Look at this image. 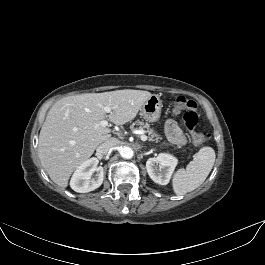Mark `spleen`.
I'll return each mask as SVG.
<instances>
[{"mask_svg":"<svg viewBox=\"0 0 265 265\" xmlns=\"http://www.w3.org/2000/svg\"><path fill=\"white\" fill-rule=\"evenodd\" d=\"M215 158V151L212 147L201 148L186 169H179L175 173L172 180L175 194L184 195L199 187L213 168Z\"/></svg>","mask_w":265,"mask_h":265,"instance_id":"3e777b00","label":"spleen"}]
</instances>
